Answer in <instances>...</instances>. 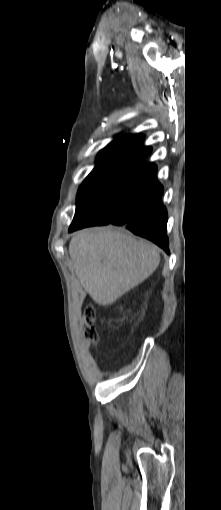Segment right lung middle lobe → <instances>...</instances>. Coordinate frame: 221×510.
Returning a JSON list of instances; mask_svg holds the SVG:
<instances>
[{"label": "right lung middle lobe", "mask_w": 221, "mask_h": 510, "mask_svg": "<svg viewBox=\"0 0 221 510\" xmlns=\"http://www.w3.org/2000/svg\"><path fill=\"white\" fill-rule=\"evenodd\" d=\"M148 152L98 156L97 164L80 186L77 206H88L96 216L115 215L124 204Z\"/></svg>", "instance_id": "obj_1"}]
</instances>
